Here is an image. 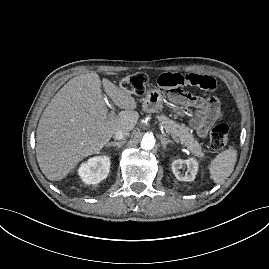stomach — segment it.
Listing matches in <instances>:
<instances>
[{"label": "stomach", "mask_w": 269, "mask_h": 269, "mask_svg": "<svg viewBox=\"0 0 269 269\" xmlns=\"http://www.w3.org/2000/svg\"><path fill=\"white\" fill-rule=\"evenodd\" d=\"M164 96L160 89H150L147 91L146 97L143 101V110L149 113L157 112L163 108ZM175 115H184L185 111L179 107H171Z\"/></svg>", "instance_id": "1"}]
</instances>
